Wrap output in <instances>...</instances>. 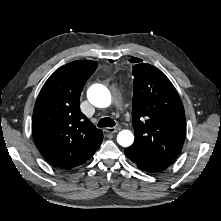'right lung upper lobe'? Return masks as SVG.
Masks as SVG:
<instances>
[{
  "label": "right lung upper lobe",
  "instance_id": "1",
  "mask_svg": "<svg viewBox=\"0 0 221 221\" xmlns=\"http://www.w3.org/2000/svg\"><path fill=\"white\" fill-rule=\"evenodd\" d=\"M97 62L77 60L56 70L37 98L32 134L45 159L60 169H71L90 159L103 133L80 111V94Z\"/></svg>",
  "mask_w": 221,
  "mask_h": 221
}]
</instances>
